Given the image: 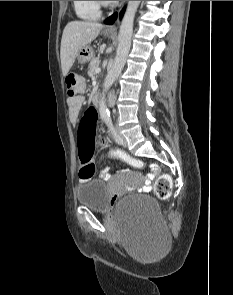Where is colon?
<instances>
[{
	"instance_id": "obj_1",
	"label": "colon",
	"mask_w": 233,
	"mask_h": 295,
	"mask_svg": "<svg viewBox=\"0 0 233 295\" xmlns=\"http://www.w3.org/2000/svg\"><path fill=\"white\" fill-rule=\"evenodd\" d=\"M66 92L70 99L81 96L85 91L84 79L76 73H69L65 78ZM95 148V115L92 112L86 113L79 128V156L81 165L79 177L83 180L90 179L96 171V164L93 160ZM110 159L120 160L132 167L140 168L143 163L121 150H112L107 154ZM154 194L162 200L168 199L172 191V180L169 175H161L153 186Z\"/></svg>"
}]
</instances>
